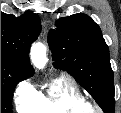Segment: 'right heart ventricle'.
Segmentation results:
<instances>
[{"label": "right heart ventricle", "mask_w": 121, "mask_h": 113, "mask_svg": "<svg viewBox=\"0 0 121 113\" xmlns=\"http://www.w3.org/2000/svg\"><path fill=\"white\" fill-rule=\"evenodd\" d=\"M87 103L86 98L62 78L45 92L30 89L28 97L17 105L20 113H59L68 109L82 110Z\"/></svg>", "instance_id": "right-heart-ventricle-1"}]
</instances>
